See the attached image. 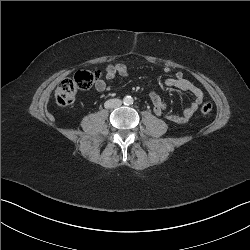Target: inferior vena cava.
Wrapping results in <instances>:
<instances>
[{
    "label": "inferior vena cava",
    "instance_id": "inferior-vena-cava-1",
    "mask_svg": "<svg viewBox=\"0 0 250 250\" xmlns=\"http://www.w3.org/2000/svg\"><path fill=\"white\" fill-rule=\"evenodd\" d=\"M122 105V101L120 99H110L105 102V108L114 109L120 107Z\"/></svg>",
    "mask_w": 250,
    "mask_h": 250
}]
</instances>
